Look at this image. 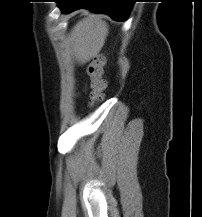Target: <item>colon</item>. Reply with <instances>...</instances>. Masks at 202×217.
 Instances as JSON below:
<instances>
[{
	"label": "colon",
	"mask_w": 202,
	"mask_h": 217,
	"mask_svg": "<svg viewBox=\"0 0 202 217\" xmlns=\"http://www.w3.org/2000/svg\"><path fill=\"white\" fill-rule=\"evenodd\" d=\"M105 61L106 59L103 54H97L88 67V74L91 80L90 104L92 106L103 98V91L106 86L103 79Z\"/></svg>",
	"instance_id": "obj_1"
}]
</instances>
